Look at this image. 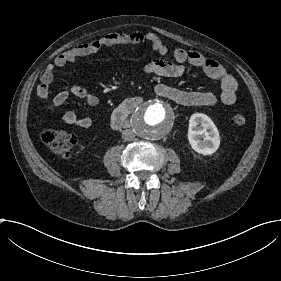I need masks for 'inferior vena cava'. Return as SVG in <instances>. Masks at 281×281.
<instances>
[{
  "label": "inferior vena cava",
  "instance_id": "1",
  "mask_svg": "<svg viewBox=\"0 0 281 281\" xmlns=\"http://www.w3.org/2000/svg\"><path fill=\"white\" fill-rule=\"evenodd\" d=\"M135 137V134L132 130L126 129L122 132V138L126 141H131Z\"/></svg>",
  "mask_w": 281,
  "mask_h": 281
}]
</instances>
